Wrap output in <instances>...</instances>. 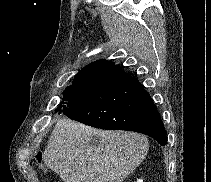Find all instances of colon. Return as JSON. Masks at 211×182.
<instances>
[{"label":"colon","mask_w":211,"mask_h":182,"mask_svg":"<svg viewBox=\"0 0 211 182\" xmlns=\"http://www.w3.org/2000/svg\"><path fill=\"white\" fill-rule=\"evenodd\" d=\"M35 159L37 160L39 166L43 169H45L44 163H43V154L40 151H37L35 153Z\"/></svg>","instance_id":"5ec220e1"}]
</instances>
